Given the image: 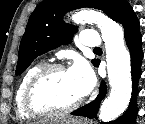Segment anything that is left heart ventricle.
<instances>
[{"mask_svg":"<svg viewBox=\"0 0 145 124\" xmlns=\"http://www.w3.org/2000/svg\"><path fill=\"white\" fill-rule=\"evenodd\" d=\"M80 99L68 71L50 74L39 88V100L56 107L68 106Z\"/></svg>","mask_w":145,"mask_h":124,"instance_id":"left-heart-ventricle-1","label":"left heart ventricle"}]
</instances>
